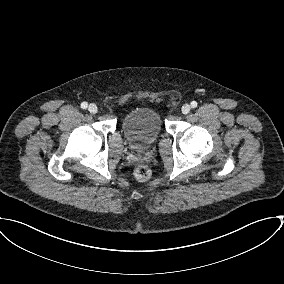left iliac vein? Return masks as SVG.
I'll return each instance as SVG.
<instances>
[{
  "instance_id": "left-iliac-vein-1",
  "label": "left iliac vein",
  "mask_w": 284,
  "mask_h": 284,
  "mask_svg": "<svg viewBox=\"0 0 284 284\" xmlns=\"http://www.w3.org/2000/svg\"><path fill=\"white\" fill-rule=\"evenodd\" d=\"M181 110L183 114H188L191 110V106L189 104H184Z\"/></svg>"
}]
</instances>
